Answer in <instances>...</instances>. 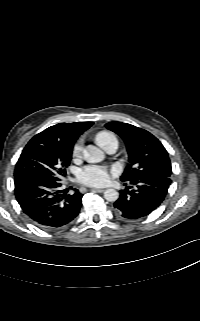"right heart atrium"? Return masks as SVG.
Wrapping results in <instances>:
<instances>
[{"mask_svg":"<svg viewBox=\"0 0 200 321\" xmlns=\"http://www.w3.org/2000/svg\"><path fill=\"white\" fill-rule=\"evenodd\" d=\"M73 154L75 157L79 156L80 154V147L79 145H75L74 148H73Z\"/></svg>","mask_w":200,"mask_h":321,"instance_id":"obj_1","label":"right heart atrium"}]
</instances>
